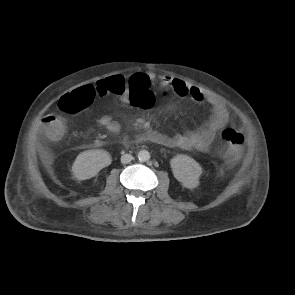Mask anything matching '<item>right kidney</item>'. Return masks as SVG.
<instances>
[{
	"mask_svg": "<svg viewBox=\"0 0 295 295\" xmlns=\"http://www.w3.org/2000/svg\"><path fill=\"white\" fill-rule=\"evenodd\" d=\"M112 162L110 154L102 149L88 150L80 153L73 165L72 171L78 180L90 179Z\"/></svg>",
	"mask_w": 295,
	"mask_h": 295,
	"instance_id": "1",
	"label": "right kidney"
}]
</instances>
